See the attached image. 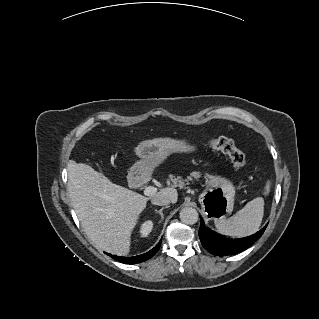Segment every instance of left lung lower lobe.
Masks as SVG:
<instances>
[{"instance_id": "obj_1", "label": "left lung lower lobe", "mask_w": 319, "mask_h": 319, "mask_svg": "<svg viewBox=\"0 0 319 319\" xmlns=\"http://www.w3.org/2000/svg\"><path fill=\"white\" fill-rule=\"evenodd\" d=\"M268 225V224H267ZM267 225L262 228L257 233L238 239H227L221 238L213 235L208 231L204 225L203 219L201 218V224L199 228V237L202 242V245L207 249L211 254L214 255H228L234 254L252 245L265 231Z\"/></svg>"}]
</instances>
